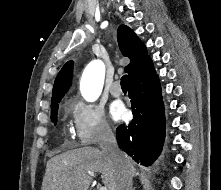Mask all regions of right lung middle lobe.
<instances>
[{"label": "right lung middle lobe", "mask_w": 221, "mask_h": 190, "mask_svg": "<svg viewBox=\"0 0 221 190\" xmlns=\"http://www.w3.org/2000/svg\"><path fill=\"white\" fill-rule=\"evenodd\" d=\"M59 102L60 100H56L55 102L51 103V119L55 125L57 123V113H58Z\"/></svg>", "instance_id": "1"}]
</instances>
